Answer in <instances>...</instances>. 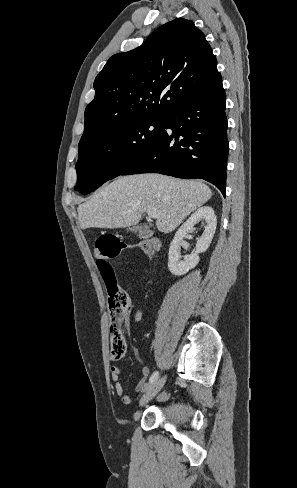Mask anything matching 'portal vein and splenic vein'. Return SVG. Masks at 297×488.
<instances>
[{"label":"portal vein and splenic vein","instance_id":"1","mask_svg":"<svg viewBox=\"0 0 297 488\" xmlns=\"http://www.w3.org/2000/svg\"><path fill=\"white\" fill-rule=\"evenodd\" d=\"M148 216L151 218H157L159 217V213L156 209H151L147 212Z\"/></svg>","mask_w":297,"mask_h":488}]
</instances>
